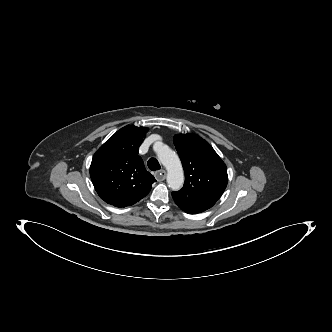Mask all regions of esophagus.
<instances>
[{"mask_svg":"<svg viewBox=\"0 0 332 332\" xmlns=\"http://www.w3.org/2000/svg\"><path fill=\"white\" fill-rule=\"evenodd\" d=\"M155 177L158 181H163L166 178V171L165 170H160L155 173Z\"/></svg>","mask_w":332,"mask_h":332,"instance_id":"esophagus-1","label":"esophagus"}]
</instances>
